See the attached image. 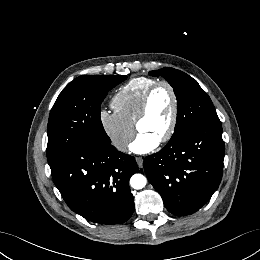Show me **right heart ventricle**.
<instances>
[{
	"mask_svg": "<svg viewBox=\"0 0 260 260\" xmlns=\"http://www.w3.org/2000/svg\"><path fill=\"white\" fill-rule=\"evenodd\" d=\"M156 82L157 80L149 77L131 79L113 96L112 107L122 118L134 125L144 94Z\"/></svg>",
	"mask_w": 260,
	"mask_h": 260,
	"instance_id": "right-heart-ventricle-1",
	"label": "right heart ventricle"
}]
</instances>
